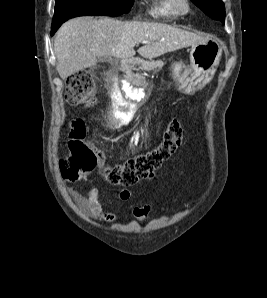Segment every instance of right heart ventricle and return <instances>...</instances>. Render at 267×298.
<instances>
[{
    "mask_svg": "<svg viewBox=\"0 0 267 298\" xmlns=\"http://www.w3.org/2000/svg\"><path fill=\"white\" fill-rule=\"evenodd\" d=\"M147 4V13L154 18H172L180 15L172 0H147Z\"/></svg>",
    "mask_w": 267,
    "mask_h": 298,
    "instance_id": "e07e8e85",
    "label": "right heart ventricle"
}]
</instances>
